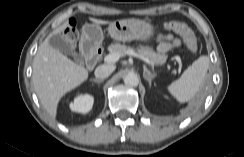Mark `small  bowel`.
Masks as SVG:
<instances>
[{
    "instance_id": "small-bowel-1",
    "label": "small bowel",
    "mask_w": 244,
    "mask_h": 157,
    "mask_svg": "<svg viewBox=\"0 0 244 157\" xmlns=\"http://www.w3.org/2000/svg\"><path fill=\"white\" fill-rule=\"evenodd\" d=\"M180 45V40L172 35L160 36L158 38L157 50L160 53H165L171 48L178 47Z\"/></svg>"
}]
</instances>
